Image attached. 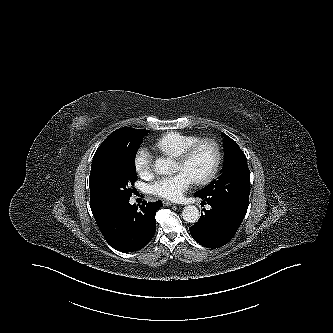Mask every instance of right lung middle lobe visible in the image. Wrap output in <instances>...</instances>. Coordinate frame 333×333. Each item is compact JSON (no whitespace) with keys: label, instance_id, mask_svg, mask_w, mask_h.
Masks as SVG:
<instances>
[{"label":"right lung middle lobe","instance_id":"obj_1","mask_svg":"<svg viewBox=\"0 0 333 333\" xmlns=\"http://www.w3.org/2000/svg\"><path fill=\"white\" fill-rule=\"evenodd\" d=\"M149 132L133 134L103 151L93 165L91 178L100 199L109 205L130 198L137 179L135 156L142 138Z\"/></svg>","mask_w":333,"mask_h":333}]
</instances>
